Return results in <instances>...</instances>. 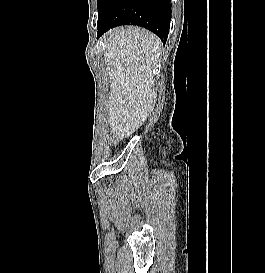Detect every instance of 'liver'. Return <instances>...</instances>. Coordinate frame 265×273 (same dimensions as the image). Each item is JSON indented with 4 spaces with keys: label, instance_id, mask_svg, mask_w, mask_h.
Listing matches in <instances>:
<instances>
[{
    "label": "liver",
    "instance_id": "obj_1",
    "mask_svg": "<svg viewBox=\"0 0 265 273\" xmlns=\"http://www.w3.org/2000/svg\"><path fill=\"white\" fill-rule=\"evenodd\" d=\"M110 69L109 123L119 138L131 136L154 107L153 68L162 43L140 27H118L103 36Z\"/></svg>",
    "mask_w": 265,
    "mask_h": 273
}]
</instances>
